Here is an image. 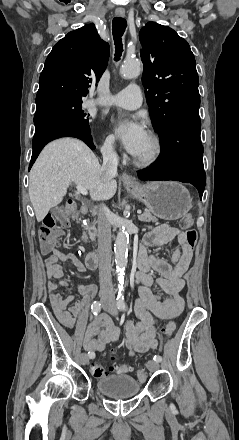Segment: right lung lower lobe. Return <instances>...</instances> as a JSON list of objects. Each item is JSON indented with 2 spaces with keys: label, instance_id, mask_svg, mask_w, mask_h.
Listing matches in <instances>:
<instances>
[{
  "label": "right lung lower lobe",
  "instance_id": "1",
  "mask_svg": "<svg viewBox=\"0 0 239 440\" xmlns=\"http://www.w3.org/2000/svg\"><path fill=\"white\" fill-rule=\"evenodd\" d=\"M34 124L35 135L32 141L33 153L30 167L48 142L61 137L81 139L91 149H95L92 138L90 137L89 124L80 123L55 111L35 114Z\"/></svg>",
  "mask_w": 239,
  "mask_h": 440
}]
</instances>
